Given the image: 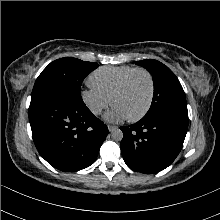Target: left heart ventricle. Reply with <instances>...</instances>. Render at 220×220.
Masks as SVG:
<instances>
[{"label":"left heart ventricle","instance_id":"obj_1","mask_svg":"<svg viewBox=\"0 0 220 220\" xmlns=\"http://www.w3.org/2000/svg\"><path fill=\"white\" fill-rule=\"evenodd\" d=\"M150 84L144 73H136L126 88L115 97L113 105L120 107L128 117L138 115L146 106Z\"/></svg>","mask_w":220,"mask_h":220}]
</instances>
